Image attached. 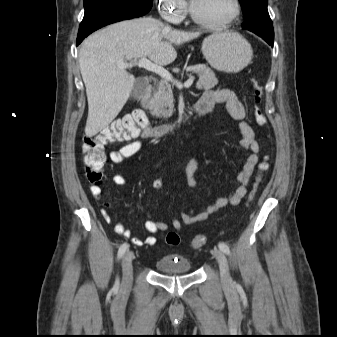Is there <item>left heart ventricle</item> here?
I'll use <instances>...</instances> for the list:
<instances>
[{"label":"left heart ventricle","mask_w":337,"mask_h":337,"mask_svg":"<svg viewBox=\"0 0 337 337\" xmlns=\"http://www.w3.org/2000/svg\"><path fill=\"white\" fill-rule=\"evenodd\" d=\"M196 14L210 21H222L232 12V0H190Z\"/></svg>","instance_id":"b2bd125f"}]
</instances>
